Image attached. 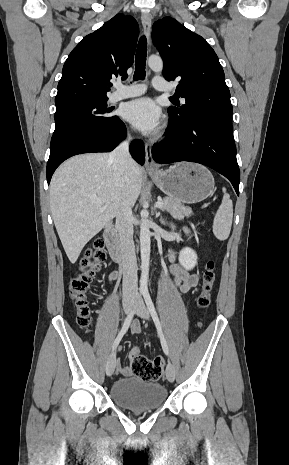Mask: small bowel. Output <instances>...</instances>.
<instances>
[{
    "mask_svg": "<svg viewBox=\"0 0 289 465\" xmlns=\"http://www.w3.org/2000/svg\"><path fill=\"white\" fill-rule=\"evenodd\" d=\"M186 233H188V230H185ZM169 259L171 262L170 265V270L171 273L174 276V280L178 288L181 290V292L186 293L190 289L194 288L197 286L199 277L196 273H192L187 271L183 266H181L177 261H176V253L174 251L169 252ZM117 277V272L113 271L109 275L110 281L116 279ZM131 330L133 333H140L141 332V327L140 323L138 320H134L131 325ZM117 371L123 375V376H129L131 374L130 368L126 366H122L119 362H117Z\"/></svg>",
    "mask_w": 289,
    "mask_h": 465,
    "instance_id": "small-bowel-1",
    "label": "small bowel"
}]
</instances>
